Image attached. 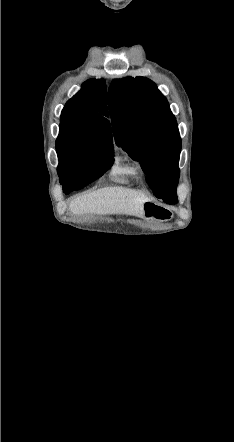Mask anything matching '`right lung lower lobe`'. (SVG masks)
I'll list each match as a JSON object with an SVG mask.
<instances>
[{"label": "right lung lower lobe", "mask_w": 234, "mask_h": 442, "mask_svg": "<svg viewBox=\"0 0 234 442\" xmlns=\"http://www.w3.org/2000/svg\"><path fill=\"white\" fill-rule=\"evenodd\" d=\"M63 191L65 192V194H68L71 192L70 190H65V189Z\"/></svg>", "instance_id": "98d812e1"}]
</instances>
